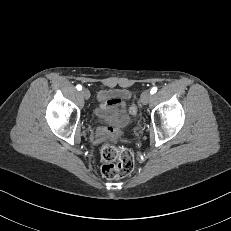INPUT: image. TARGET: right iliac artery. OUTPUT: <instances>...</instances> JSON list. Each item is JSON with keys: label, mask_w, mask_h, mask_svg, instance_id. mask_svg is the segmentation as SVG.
Segmentation results:
<instances>
[{"label": "right iliac artery", "mask_w": 231, "mask_h": 231, "mask_svg": "<svg viewBox=\"0 0 231 231\" xmlns=\"http://www.w3.org/2000/svg\"><path fill=\"white\" fill-rule=\"evenodd\" d=\"M76 88H77V90H81L82 86L81 85H77Z\"/></svg>", "instance_id": "obj_1"}]
</instances>
